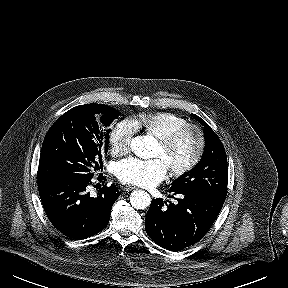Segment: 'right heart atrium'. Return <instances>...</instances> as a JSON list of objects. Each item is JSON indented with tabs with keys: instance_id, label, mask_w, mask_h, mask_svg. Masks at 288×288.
Segmentation results:
<instances>
[{
	"instance_id": "1",
	"label": "right heart atrium",
	"mask_w": 288,
	"mask_h": 288,
	"mask_svg": "<svg viewBox=\"0 0 288 288\" xmlns=\"http://www.w3.org/2000/svg\"><path fill=\"white\" fill-rule=\"evenodd\" d=\"M136 126L132 120H122L112 129L109 137L111 149L114 153H126L131 145Z\"/></svg>"
}]
</instances>
